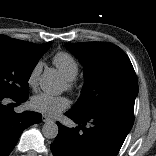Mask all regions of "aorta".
Returning a JSON list of instances; mask_svg holds the SVG:
<instances>
[{
    "label": "aorta",
    "mask_w": 156,
    "mask_h": 156,
    "mask_svg": "<svg viewBox=\"0 0 156 156\" xmlns=\"http://www.w3.org/2000/svg\"><path fill=\"white\" fill-rule=\"evenodd\" d=\"M41 89L50 94L56 93L60 88V80L54 71L48 70L41 75L40 79ZM59 132V128L54 121H47L42 127V134L47 139H54Z\"/></svg>",
    "instance_id": "aorta-1"
}]
</instances>
